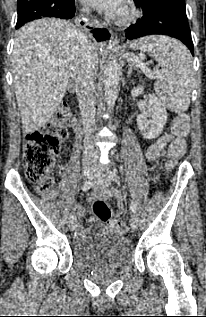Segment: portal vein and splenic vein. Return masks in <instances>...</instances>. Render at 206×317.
Masks as SVG:
<instances>
[{
    "label": "portal vein and splenic vein",
    "instance_id": "1",
    "mask_svg": "<svg viewBox=\"0 0 206 317\" xmlns=\"http://www.w3.org/2000/svg\"><path fill=\"white\" fill-rule=\"evenodd\" d=\"M48 62L51 65L58 66V67H66L67 66V63L65 61L61 60V59L49 58ZM128 62H130L132 64H136L137 66H139L144 71V73L147 75V77L150 78V79H155V78H161L162 77V73L161 72H159V71L151 72L146 67V64L142 61V59H139L138 57H131V58L128 59Z\"/></svg>",
    "mask_w": 206,
    "mask_h": 317
}]
</instances>
